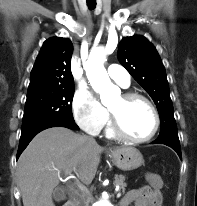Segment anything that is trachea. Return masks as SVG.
Segmentation results:
<instances>
[{
	"label": "trachea",
	"mask_w": 197,
	"mask_h": 206,
	"mask_svg": "<svg viewBox=\"0 0 197 206\" xmlns=\"http://www.w3.org/2000/svg\"><path fill=\"white\" fill-rule=\"evenodd\" d=\"M87 5H88L89 9H94L96 6V2L91 1V0H87Z\"/></svg>",
	"instance_id": "1"
}]
</instances>
